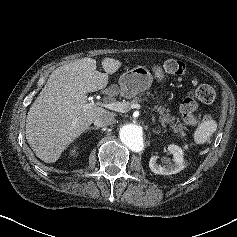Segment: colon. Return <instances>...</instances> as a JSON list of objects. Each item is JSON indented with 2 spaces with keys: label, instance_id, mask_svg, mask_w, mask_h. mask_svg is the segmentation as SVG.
Instances as JSON below:
<instances>
[{
  "label": "colon",
  "instance_id": "obj_1",
  "mask_svg": "<svg viewBox=\"0 0 237 237\" xmlns=\"http://www.w3.org/2000/svg\"><path fill=\"white\" fill-rule=\"evenodd\" d=\"M163 67L164 70L171 75L184 76L187 74L185 64L175 59L166 60ZM215 98L216 92L209 85H200L194 91L188 93L180 104V112L184 123L188 126H196L199 122L195 115V112L198 109L197 100L210 104L214 102Z\"/></svg>",
  "mask_w": 237,
  "mask_h": 237
}]
</instances>
